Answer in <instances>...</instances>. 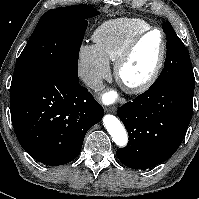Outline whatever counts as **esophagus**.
I'll use <instances>...</instances> for the list:
<instances>
[{"mask_svg": "<svg viewBox=\"0 0 199 199\" xmlns=\"http://www.w3.org/2000/svg\"><path fill=\"white\" fill-rule=\"evenodd\" d=\"M106 112H110V113H115L116 112V108L115 107H107Z\"/></svg>", "mask_w": 199, "mask_h": 199, "instance_id": "34e87169", "label": "esophagus"}]
</instances>
